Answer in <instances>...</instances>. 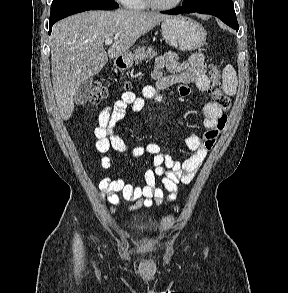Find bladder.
<instances>
[{"label": "bladder", "instance_id": "bladder-1", "mask_svg": "<svg viewBox=\"0 0 288 293\" xmlns=\"http://www.w3.org/2000/svg\"><path fill=\"white\" fill-rule=\"evenodd\" d=\"M159 230V227L154 222H149L143 225L138 226L135 229V232L140 235H153L156 234Z\"/></svg>", "mask_w": 288, "mask_h": 293}]
</instances>
